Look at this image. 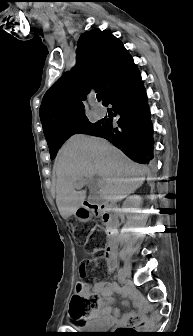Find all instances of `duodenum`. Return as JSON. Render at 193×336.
<instances>
[{"instance_id":"410a0bca","label":"duodenum","mask_w":193,"mask_h":336,"mask_svg":"<svg viewBox=\"0 0 193 336\" xmlns=\"http://www.w3.org/2000/svg\"><path fill=\"white\" fill-rule=\"evenodd\" d=\"M95 216L102 218L107 225L108 242L105 249V257L108 263L115 262L116 232V207L110 203L88 204Z\"/></svg>"}]
</instances>
